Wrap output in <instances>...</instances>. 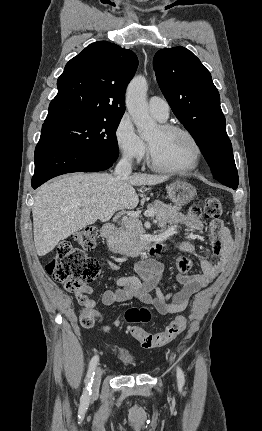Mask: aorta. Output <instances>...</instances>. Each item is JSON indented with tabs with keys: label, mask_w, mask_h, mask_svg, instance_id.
Returning <instances> with one entry per match:
<instances>
[{
	"label": "aorta",
	"mask_w": 262,
	"mask_h": 431,
	"mask_svg": "<svg viewBox=\"0 0 262 431\" xmlns=\"http://www.w3.org/2000/svg\"><path fill=\"white\" fill-rule=\"evenodd\" d=\"M148 85L144 76H136L127 87L126 106L136 125L140 136L146 137L152 134L157 123L152 119L148 111L146 101Z\"/></svg>",
	"instance_id": "obj_1"
}]
</instances>
